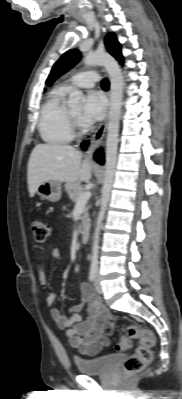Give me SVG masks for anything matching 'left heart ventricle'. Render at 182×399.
Returning <instances> with one entry per match:
<instances>
[{
  "mask_svg": "<svg viewBox=\"0 0 182 399\" xmlns=\"http://www.w3.org/2000/svg\"><path fill=\"white\" fill-rule=\"evenodd\" d=\"M71 112H72V114H73L75 117L80 118V114H81V109H80V108L72 109Z\"/></svg>",
  "mask_w": 182,
  "mask_h": 399,
  "instance_id": "left-heart-ventricle-1",
  "label": "left heart ventricle"
}]
</instances>
